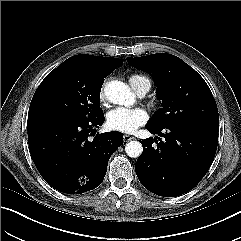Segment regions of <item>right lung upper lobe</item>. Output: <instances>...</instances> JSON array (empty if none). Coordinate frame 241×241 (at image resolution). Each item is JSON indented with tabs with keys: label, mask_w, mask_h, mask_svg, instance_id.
<instances>
[{
	"label": "right lung upper lobe",
	"mask_w": 241,
	"mask_h": 241,
	"mask_svg": "<svg viewBox=\"0 0 241 241\" xmlns=\"http://www.w3.org/2000/svg\"><path fill=\"white\" fill-rule=\"evenodd\" d=\"M75 62L81 73L96 76L107 77L114 69L120 66L123 61L118 58L100 57L89 54H79L69 58Z\"/></svg>",
	"instance_id": "right-lung-upper-lobe-1"
}]
</instances>
